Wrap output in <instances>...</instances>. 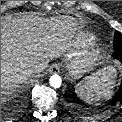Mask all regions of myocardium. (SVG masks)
Here are the masks:
<instances>
[{
    "instance_id": "obj_1",
    "label": "myocardium",
    "mask_w": 122,
    "mask_h": 122,
    "mask_svg": "<svg viewBox=\"0 0 122 122\" xmlns=\"http://www.w3.org/2000/svg\"><path fill=\"white\" fill-rule=\"evenodd\" d=\"M101 48L96 47L89 51L87 55L84 57V59L77 64L78 69H84L88 66H90L92 63H94L100 56L101 54Z\"/></svg>"
}]
</instances>
